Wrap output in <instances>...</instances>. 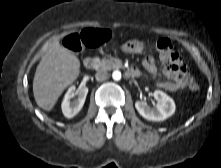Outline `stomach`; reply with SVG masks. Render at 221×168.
<instances>
[{
	"mask_svg": "<svg viewBox=\"0 0 221 168\" xmlns=\"http://www.w3.org/2000/svg\"><path fill=\"white\" fill-rule=\"evenodd\" d=\"M144 48V43L136 39L128 40L121 46L123 52L132 54L142 53Z\"/></svg>",
	"mask_w": 221,
	"mask_h": 168,
	"instance_id": "1",
	"label": "stomach"
}]
</instances>
